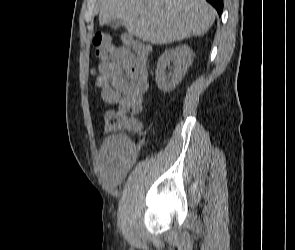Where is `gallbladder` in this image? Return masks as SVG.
Returning a JSON list of instances; mask_svg holds the SVG:
<instances>
[{
  "label": "gallbladder",
  "instance_id": "gallbladder-1",
  "mask_svg": "<svg viewBox=\"0 0 295 250\" xmlns=\"http://www.w3.org/2000/svg\"><path fill=\"white\" fill-rule=\"evenodd\" d=\"M108 26L114 29H118L122 26V20L120 19H112L110 22L107 23Z\"/></svg>",
  "mask_w": 295,
  "mask_h": 250
}]
</instances>
